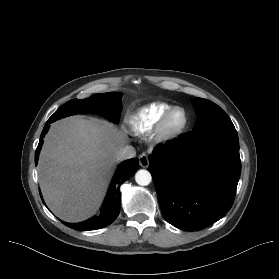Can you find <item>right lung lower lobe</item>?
I'll use <instances>...</instances> for the list:
<instances>
[{"mask_svg":"<svg viewBox=\"0 0 279 279\" xmlns=\"http://www.w3.org/2000/svg\"><path fill=\"white\" fill-rule=\"evenodd\" d=\"M46 124H50V123H46ZM48 129L49 126L47 125L44 127L41 133V138L35 154L36 165L38 162L39 152L43 144L42 138L47 133ZM138 165H139V160L137 158L126 160L119 165L117 172L115 173L112 179L105 202L98 216H94L93 218L81 223H76V224L66 223V222L63 223L72 229L80 230V231L95 230L110 225L119 214L120 205H121L120 185L135 174V172L138 169Z\"/></svg>","mask_w":279,"mask_h":279,"instance_id":"1","label":"right lung lower lobe"}]
</instances>
